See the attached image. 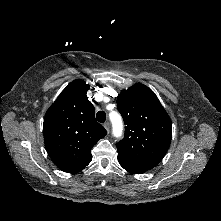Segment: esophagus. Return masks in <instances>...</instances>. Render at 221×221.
<instances>
[{
  "mask_svg": "<svg viewBox=\"0 0 221 221\" xmlns=\"http://www.w3.org/2000/svg\"><path fill=\"white\" fill-rule=\"evenodd\" d=\"M104 127L105 129L107 130V132H109V129H110V123L107 121L104 123Z\"/></svg>",
  "mask_w": 221,
  "mask_h": 221,
  "instance_id": "1",
  "label": "esophagus"
}]
</instances>
